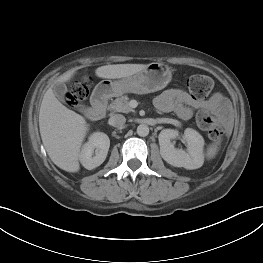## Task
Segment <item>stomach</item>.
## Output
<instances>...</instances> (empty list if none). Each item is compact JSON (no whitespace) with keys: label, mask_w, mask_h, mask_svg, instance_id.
Listing matches in <instances>:
<instances>
[{"label":"stomach","mask_w":263,"mask_h":263,"mask_svg":"<svg viewBox=\"0 0 263 263\" xmlns=\"http://www.w3.org/2000/svg\"><path fill=\"white\" fill-rule=\"evenodd\" d=\"M171 77V70L167 65L153 62L134 75L114 81L102 80L96 85L94 95L109 98L125 93L148 94L166 87Z\"/></svg>","instance_id":"stomach-1"}]
</instances>
